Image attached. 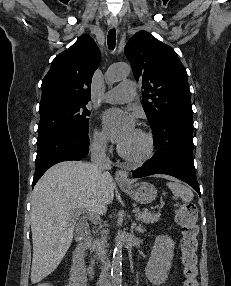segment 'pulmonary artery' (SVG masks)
<instances>
[{
  "label": "pulmonary artery",
  "mask_w": 231,
  "mask_h": 286,
  "mask_svg": "<svg viewBox=\"0 0 231 286\" xmlns=\"http://www.w3.org/2000/svg\"><path fill=\"white\" fill-rule=\"evenodd\" d=\"M135 95V83L130 80H124L118 86L108 90L102 98L108 103H125L133 100Z\"/></svg>",
  "instance_id": "1"
}]
</instances>
